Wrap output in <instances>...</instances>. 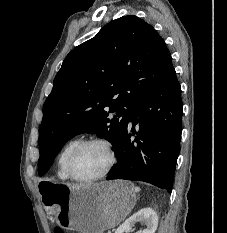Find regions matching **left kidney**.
Masks as SVG:
<instances>
[{
  "mask_svg": "<svg viewBox=\"0 0 227 233\" xmlns=\"http://www.w3.org/2000/svg\"><path fill=\"white\" fill-rule=\"evenodd\" d=\"M138 221L147 226L141 233H155L158 226V216L152 208H144L133 214L115 233H128Z\"/></svg>",
  "mask_w": 227,
  "mask_h": 233,
  "instance_id": "1",
  "label": "left kidney"
}]
</instances>
